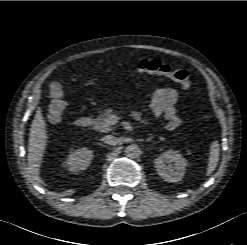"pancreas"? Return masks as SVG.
<instances>
[{
	"label": "pancreas",
	"instance_id": "1",
	"mask_svg": "<svg viewBox=\"0 0 247 245\" xmlns=\"http://www.w3.org/2000/svg\"><path fill=\"white\" fill-rule=\"evenodd\" d=\"M113 113L112 109H105L100 112V115L94 120V129L101 131V132H109L112 130V123L110 122V117ZM130 115L139 121L140 123L147 125L149 122L145 119H143L142 113L136 111V110H131Z\"/></svg>",
	"mask_w": 247,
	"mask_h": 245
}]
</instances>
